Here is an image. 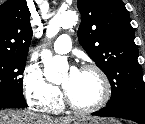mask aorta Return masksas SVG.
<instances>
[{
	"label": "aorta",
	"mask_w": 145,
	"mask_h": 124,
	"mask_svg": "<svg viewBox=\"0 0 145 124\" xmlns=\"http://www.w3.org/2000/svg\"><path fill=\"white\" fill-rule=\"evenodd\" d=\"M76 16L73 13L65 12L58 13L51 17L46 36L48 38L54 37L61 27H69L75 24ZM41 59L44 64V76L49 82H60L63 73H65L69 66L67 59L62 56H52V52L47 49H43L41 52Z\"/></svg>",
	"instance_id": "obj_1"
}]
</instances>
